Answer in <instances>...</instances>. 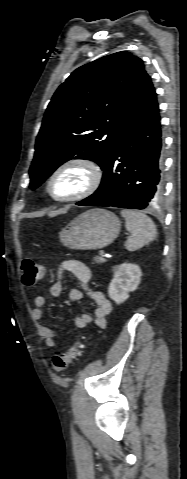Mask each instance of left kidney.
Instances as JSON below:
<instances>
[{
    "instance_id": "5707ae66",
    "label": "left kidney",
    "mask_w": 187,
    "mask_h": 479,
    "mask_svg": "<svg viewBox=\"0 0 187 479\" xmlns=\"http://www.w3.org/2000/svg\"><path fill=\"white\" fill-rule=\"evenodd\" d=\"M113 279L108 288L109 297L121 304L129 298V293L137 289L141 281L142 272L138 265L123 263L114 266Z\"/></svg>"
}]
</instances>
